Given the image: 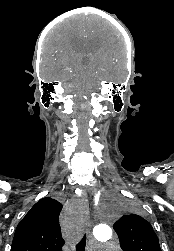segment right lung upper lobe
<instances>
[{
	"label": "right lung upper lobe",
	"instance_id": "obj_1",
	"mask_svg": "<svg viewBox=\"0 0 174 251\" xmlns=\"http://www.w3.org/2000/svg\"><path fill=\"white\" fill-rule=\"evenodd\" d=\"M62 204L45 197L18 224L11 251H62L59 215Z\"/></svg>",
	"mask_w": 174,
	"mask_h": 251
}]
</instances>
